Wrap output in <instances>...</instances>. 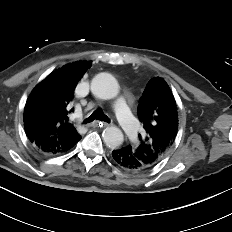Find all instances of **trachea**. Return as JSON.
Listing matches in <instances>:
<instances>
[{
    "mask_svg": "<svg viewBox=\"0 0 232 232\" xmlns=\"http://www.w3.org/2000/svg\"><path fill=\"white\" fill-rule=\"evenodd\" d=\"M93 120H100L110 123V119L106 116L101 109L95 110L88 118L84 120V124L90 123Z\"/></svg>",
    "mask_w": 232,
    "mask_h": 232,
    "instance_id": "3493384b",
    "label": "trachea"
}]
</instances>
